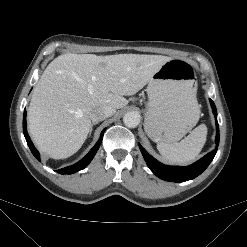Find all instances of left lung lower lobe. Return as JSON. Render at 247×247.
Returning <instances> with one entry per match:
<instances>
[{
  "mask_svg": "<svg viewBox=\"0 0 247 247\" xmlns=\"http://www.w3.org/2000/svg\"><path fill=\"white\" fill-rule=\"evenodd\" d=\"M210 104L213 113L216 117L217 116L216 107L211 99H210ZM216 127H217V131H219L217 119H216ZM215 141L216 144L218 145L219 133H217ZM139 147L149 169L160 179L170 182H184L190 179H194L208 167V165L213 160L217 151V149H215L214 151L206 154L203 158H201L200 160H198L197 162H195L190 166L179 167V166L163 165L162 163L154 159L152 156H150L142 146Z\"/></svg>",
  "mask_w": 247,
  "mask_h": 247,
  "instance_id": "left-lung-lower-lobe-1",
  "label": "left lung lower lobe"
}]
</instances>
